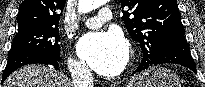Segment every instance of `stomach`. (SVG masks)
I'll return each instance as SVG.
<instances>
[{"instance_id":"0dacf381","label":"stomach","mask_w":205,"mask_h":87,"mask_svg":"<svg viewBox=\"0 0 205 87\" xmlns=\"http://www.w3.org/2000/svg\"><path fill=\"white\" fill-rule=\"evenodd\" d=\"M127 87H181V83L171 70L153 66L134 75Z\"/></svg>"}]
</instances>
